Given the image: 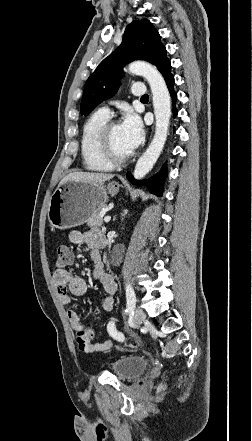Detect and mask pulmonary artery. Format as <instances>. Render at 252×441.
I'll return each instance as SVG.
<instances>
[{"mask_svg": "<svg viewBox=\"0 0 252 441\" xmlns=\"http://www.w3.org/2000/svg\"><path fill=\"white\" fill-rule=\"evenodd\" d=\"M131 92H132V95L135 97H142L146 94V87L142 83L134 84ZM99 112L107 117H110V115H111V110L107 106L100 108Z\"/></svg>", "mask_w": 252, "mask_h": 441, "instance_id": "e3ab8cb5", "label": "pulmonary artery"}]
</instances>
